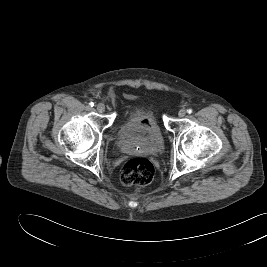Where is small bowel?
Listing matches in <instances>:
<instances>
[{
    "label": "small bowel",
    "instance_id": "obj_1",
    "mask_svg": "<svg viewBox=\"0 0 267 267\" xmlns=\"http://www.w3.org/2000/svg\"><path fill=\"white\" fill-rule=\"evenodd\" d=\"M128 99L135 100L136 96L134 95H127ZM135 126L143 131H150L153 127V122L150 119L143 118L135 121Z\"/></svg>",
    "mask_w": 267,
    "mask_h": 267
}]
</instances>
